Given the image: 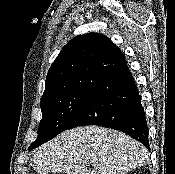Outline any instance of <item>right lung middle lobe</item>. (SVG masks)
Wrapping results in <instances>:
<instances>
[{"instance_id": "obj_1", "label": "right lung middle lobe", "mask_w": 175, "mask_h": 174, "mask_svg": "<svg viewBox=\"0 0 175 174\" xmlns=\"http://www.w3.org/2000/svg\"><path fill=\"white\" fill-rule=\"evenodd\" d=\"M93 87L64 92L40 101L42 120L38 138L31 144L32 150L51 140L68 128Z\"/></svg>"}]
</instances>
